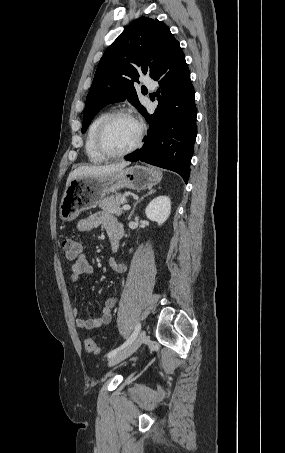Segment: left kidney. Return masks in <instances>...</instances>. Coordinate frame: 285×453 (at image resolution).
I'll return each instance as SVG.
<instances>
[{
    "instance_id": "5707ae66",
    "label": "left kidney",
    "mask_w": 285,
    "mask_h": 453,
    "mask_svg": "<svg viewBox=\"0 0 285 453\" xmlns=\"http://www.w3.org/2000/svg\"><path fill=\"white\" fill-rule=\"evenodd\" d=\"M171 212V201L167 196H159L154 198L145 210L146 217L149 220L157 222L160 226L169 217Z\"/></svg>"
}]
</instances>
